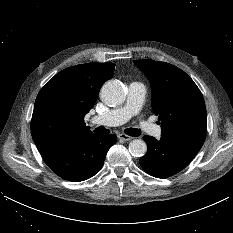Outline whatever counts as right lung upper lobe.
Returning <instances> with one entry per match:
<instances>
[{
  "label": "right lung upper lobe",
  "instance_id": "cb5924a9",
  "mask_svg": "<svg viewBox=\"0 0 233 233\" xmlns=\"http://www.w3.org/2000/svg\"><path fill=\"white\" fill-rule=\"evenodd\" d=\"M113 63H87L57 73L40 90L31 133L40 152L93 134L84 116L94 106L102 84L114 74Z\"/></svg>",
  "mask_w": 233,
  "mask_h": 233
}]
</instances>
